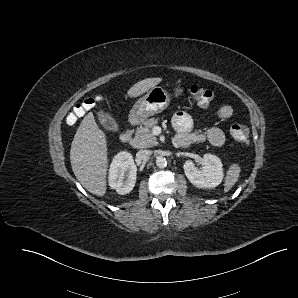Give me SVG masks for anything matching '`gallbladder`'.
I'll list each match as a JSON object with an SVG mask.
<instances>
[{
    "label": "gallbladder",
    "instance_id": "bac80fb5",
    "mask_svg": "<svg viewBox=\"0 0 298 298\" xmlns=\"http://www.w3.org/2000/svg\"><path fill=\"white\" fill-rule=\"evenodd\" d=\"M98 120L100 124L107 130H112L116 126L115 119L109 115L108 113H105L103 111H99L97 113Z\"/></svg>",
    "mask_w": 298,
    "mask_h": 298
}]
</instances>
